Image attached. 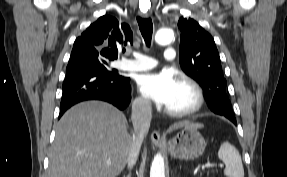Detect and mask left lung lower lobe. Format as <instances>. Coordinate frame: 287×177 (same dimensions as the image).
<instances>
[{
  "label": "left lung lower lobe",
  "mask_w": 287,
  "mask_h": 177,
  "mask_svg": "<svg viewBox=\"0 0 287 177\" xmlns=\"http://www.w3.org/2000/svg\"><path fill=\"white\" fill-rule=\"evenodd\" d=\"M222 102H223V100H221L219 98L214 99L213 100V105L210 107V109L216 114L225 116L226 118L231 120L236 125L237 123H236L235 116L229 115V114L226 113V111L222 107V104H221Z\"/></svg>",
  "instance_id": "1"
}]
</instances>
